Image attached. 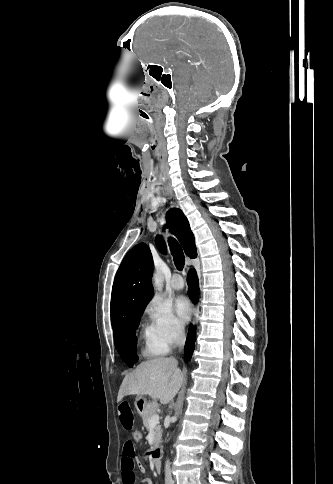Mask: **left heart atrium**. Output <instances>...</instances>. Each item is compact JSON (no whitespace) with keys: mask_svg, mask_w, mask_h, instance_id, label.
Returning <instances> with one entry per match:
<instances>
[{"mask_svg":"<svg viewBox=\"0 0 333 484\" xmlns=\"http://www.w3.org/2000/svg\"><path fill=\"white\" fill-rule=\"evenodd\" d=\"M174 309L181 321L187 322L192 315V305L184 296H178L174 302Z\"/></svg>","mask_w":333,"mask_h":484,"instance_id":"left-heart-atrium-1","label":"left heart atrium"}]
</instances>
